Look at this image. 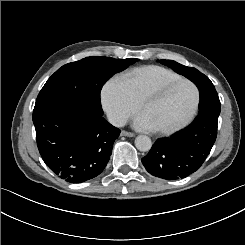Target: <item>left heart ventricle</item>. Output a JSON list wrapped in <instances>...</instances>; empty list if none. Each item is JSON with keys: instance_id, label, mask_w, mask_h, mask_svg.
<instances>
[{"instance_id": "1", "label": "left heart ventricle", "mask_w": 245, "mask_h": 245, "mask_svg": "<svg viewBox=\"0 0 245 245\" xmlns=\"http://www.w3.org/2000/svg\"><path fill=\"white\" fill-rule=\"evenodd\" d=\"M192 92L188 85L179 84L166 91L152 93L139 111L153 128L177 124L188 113Z\"/></svg>"}]
</instances>
